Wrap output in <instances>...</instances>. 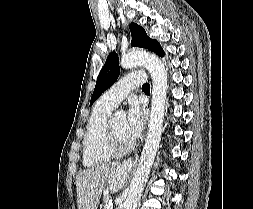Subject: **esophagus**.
Returning <instances> with one entry per match:
<instances>
[{"label": "esophagus", "instance_id": "34e87169", "mask_svg": "<svg viewBox=\"0 0 253 209\" xmlns=\"http://www.w3.org/2000/svg\"><path fill=\"white\" fill-rule=\"evenodd\" d=\"M133 163V161L130 159V160H127L126 161V164L128 165V164H132Z\"/></svg>", "mask_w": 253, "mask_h": 209}]
</instances>
